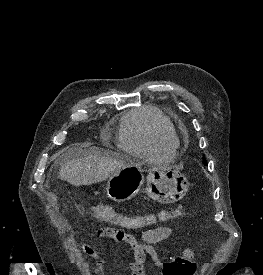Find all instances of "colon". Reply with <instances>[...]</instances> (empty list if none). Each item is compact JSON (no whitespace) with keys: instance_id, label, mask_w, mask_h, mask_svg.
<instances>
[{"instance_id":"obj_1","label":"colon","mask_w":263,"mask_h":275,"mask_svg":"<svg viewBox=\"0 0 263 275\" xmlns=\"http://www.w3.org/2000/svg\"><path fill=\"white\" fill-rule=\"evenodd\" d=\"M90 214L100 222L112 223L127 230H138L156 223L181 218L184 216L185 210L182 206H178L152 214L130 215L119 212L112 206L99 204L91 208ZM127 235L130 234L123 230L116 229L115 237L117 240H122L127 237ZM193 260L194 251L187 249L182 254L171 259L168 263L166 273L168 275H186V273L191 271L195 266Z\"/></svg>"}]
</instances>
